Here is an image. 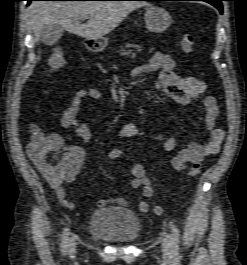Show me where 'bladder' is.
<instances>
[{"label":"bladder","instance_id":"31cf9c89","mask_svg":"<svg viewBox=\"0 0 247 265\" xmlns=\"http://www.w3.org/2000/svg\"><path fill=\"white\" fill-rule=\"evenodd\" d=\"M88 233L110 242L128 244L140 237L141 223L131 209L108 206L91 213Z\"/></svg>","mask_w":247,"mask_h":265}]
</instances>
